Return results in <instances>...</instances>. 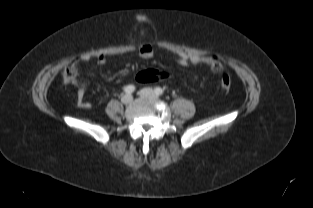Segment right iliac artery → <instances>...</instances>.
Segmentation results:
<instances>
[{"instance_id":"right-iliac-artery-1","label":"right iliac artery","mask_w":313,"mask_h":208,"mask_svg":"<svg viewBox=\"0 0 313 208\" xmlns=\"http://www.w3.org/2000/svg\"><path fill=\"white\" fill-rule=\"evenodd\" d=\"M134 91H135L134 85H128V86H126V87L124 88V92H125L126 94H131V93H133Z\"/></svg>"}]
</instances>
